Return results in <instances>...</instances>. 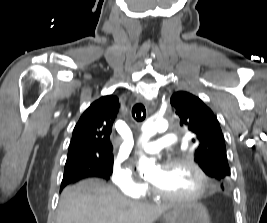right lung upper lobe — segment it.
Here are the masks:
<instances>
[{
	"label": "right lung upper lobe",
	"mask_w": 267,
	"mask_h": 223,
	"mask_svg": "<svg viewBox=\"0 0 267 223\" xmlns=\"http://www.w3.org/2000/svg\"><path fill=\"white\" fill-rule=\"evenodd\" d=\"M118 108V98L108 95L86 109L73 130L66 162L112 156L110 134Z\"/></svg>",
	"instance_id": "right-lung-upper-lobe-1"
}]
</instances>
